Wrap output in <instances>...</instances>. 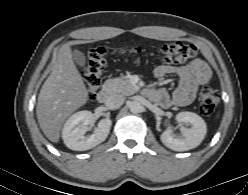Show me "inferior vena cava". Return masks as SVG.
Wrapping results in <instances>:
<instances>
[{
    "mask_svg": "<svg viewBox=\"0 0 248 195\" xmlns=\"http://www.w3.org/2000/svg\"><path fill=\"white\" fill-rule=\"evenodd\" d=\"M124 101H125V97L122 94H113L108 97L105 104L108 109L114 110L121 107Z\"/></svg>",
    "mask_w": 248,
    "mask_h": 195,
    "instance_id": "obj_1",
    "label": "inferior vena cava"
}]
</instances>
